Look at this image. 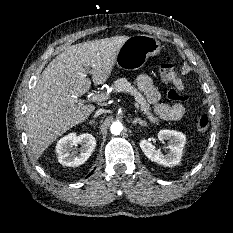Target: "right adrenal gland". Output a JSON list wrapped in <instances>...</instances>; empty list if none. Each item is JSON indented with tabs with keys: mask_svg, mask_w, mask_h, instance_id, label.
<instances>
[{
	"mask_svg": "<svg viewBox=\"0 0 233 233\" xmlns=\"http://www.w3.org/2000/svg\"><path fill=\"white\" fill-rule=\"evenodd\" d=\"M89 124H95L94 120L89 121Z\"/></svg>",
	"mask_w": 233,
	"mask_h": 233,
	"instance_id": "right-adrenal-gland-1",
	"label": "right adrenal gland"
}]
</instances>
